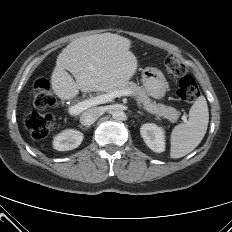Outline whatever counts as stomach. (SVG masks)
<instances>
[{
	"label": "stomach",
	"instance_id": "obj_1",
	"mask_svg": "<svg viewBox=\"0 0 232 232\" xmlns=\"http://www.w3.org/2000/svg\"><path fill=\"white\" fill-rule=\"evenodd\" d=\"M142 82L148 93L155 99L164 97L168 83L164 75L156 69H146L142 74Z\"/></svg>",
	"mask_w": 232,
	"mask_h": 232
}]
</instances>
